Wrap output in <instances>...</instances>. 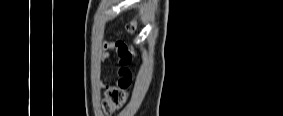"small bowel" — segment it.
<instances>
[{"instance_id":"obj_1","label":"small bowel","mask_w":283,"mask_h":116,"mask_svg":"<svg viewBox=\"0 0 283 116\" xmlns=\"http://www.w3.org/2000/svg\"><path fill=\"white\" fill-rule=\"evenodd\" d=\"M102 47L106 54H108V52L112 50H116L117 52L116 67L118 70L119 77H125L131 74L130 71L126 68L131 57L128 55L127 48L123 43L104 42Z\"/></svg>"}]
</instances>
